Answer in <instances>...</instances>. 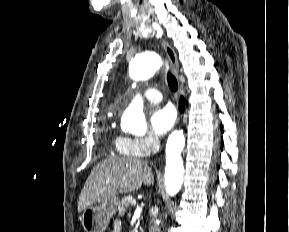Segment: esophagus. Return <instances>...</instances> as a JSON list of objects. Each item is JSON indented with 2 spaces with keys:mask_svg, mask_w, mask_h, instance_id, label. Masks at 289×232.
<instances>
[{
  "mask_svg": "<svg viewBox=\"0 0 289 232\" xmlns=\"http://www.w3.org/2000/svg\"><path fill=\"white\" fill-rule=\"evenodd\" d=\"M163 45H164L165 52H166V54L170 60L173 72L178 77L179 64H178L177 55H176L174 49L171 47V45L166 40L163 41Z\"/></svg>",
  "mask_w": 289,
  "mask_h": 232,
  "instance_id": "1",
  "label": "esophagus"
}]
</instances>
